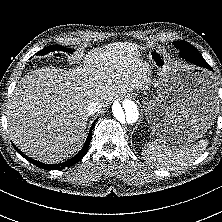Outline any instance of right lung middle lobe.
Returning <instances> with one entry per match:
<instances>
[{
	"label": "right lung middle lobe",
	"instance_id": "dd1d6c3e",
	"mask_svg": "<svg viewBox=\"0 0 222 222\" xmlns=\"http://www.w3.org/2000/svg\"><path fill=\"white\" fill-rule=\"evenodd\" d=\"M60 51V50H62V51H66V52H73V50L72 49H69V48H66V47H62V46H57V45H52V46H49V47H47V48H44L43 50H41V51H39L38 53H37V55H44V54H47V53H49V51Z\"/></svg>",
	"mask_w": 222,
	"mask_h": 222
}]
</instances>
